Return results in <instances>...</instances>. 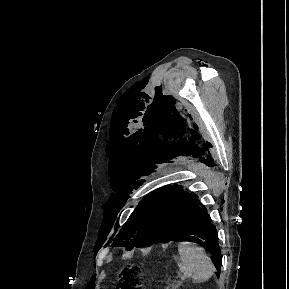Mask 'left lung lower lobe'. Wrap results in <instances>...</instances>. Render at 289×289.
<instances>
[{
	"label": "left lung lower lobe",
	"mask_w": 289,
	"mask_h": 289,
	"mask_svg": "<svg viewBox=\"0 0 289 289\" xmlns=\"http://www.w3.org/2000/svg\"><path fill=\"white\" fill-rule=\"evenodd\" d=\"M196 197L181 192L168 203L164 210V214L169 218L165 231L167 235L163 241L175 237L189 238L192 242L208 248L217 259L215 267L220 273L221 255L217 231L211 223L207 209L197 203Z\"/></svg>",
	"instance_id": "obj_1"
}]
</instances>
